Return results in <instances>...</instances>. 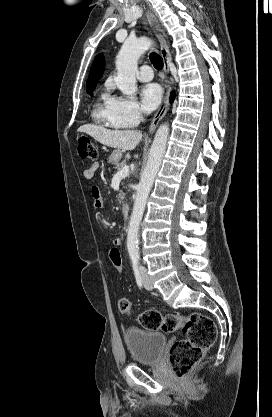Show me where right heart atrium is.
I'll use <instances>...</instances> for the list:
<instances>
[{
    "label": "right heart atrium",
    "mask_w": 272,
    "mask_h": 417,
    "mask_svg": "<svg viewBox=\"0 0 272 417\" xmlns=\"http://www.w3.org/2000/svg\"><path fill=\"white\" fill-rule=\"evenodd\" d=\"M114 116L127 127L137 125L143 116V111L136 100L127 97H116L111 101Z\"/></svg>",
    "instance_id": "right-heart-atrium-1"
}]
</instances>
